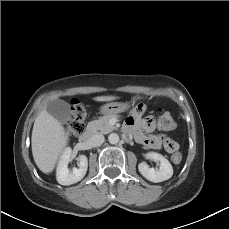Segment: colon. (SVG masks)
<instances>
[{
  "label": "colon",
  "mask_w": 229,
  "mask_h": 229,
  "mask_svg": "<svg viewBox=\"0 0 229 229\" xmlns=\"http://www.w3.org/2000/svg\"><path fill=\"white\" fill-rule=\"evenodd\" d=\"M162 128H172L174 121L171 117H162ZM86 130V111L82 103L75 100L72 103L71 116L66 125V131L74 136L82 135ZM164 148L172 154V160L179 163L182 160L181 154L178 152V144L170 138L163 137Z\"/></svg>",
  "instance_id": "5ec220e1"
}]
</instances>
